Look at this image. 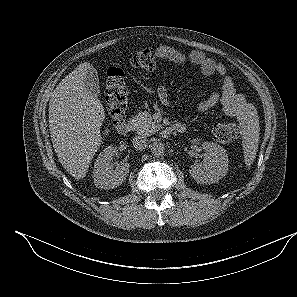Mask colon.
Masks as SVG:
<instances>
[{
  "label": "colon",
  "instance_id": "colon-1",
  "mask_svg": "<svg viewBox=\"0 0 297 297\" xmlns=\"http://www.w3.org/2000/svg\"><path fill=\"white\" fill-rule=\"evenodd\" d=\"M129 64L135 68L151 71L156 67V56L150 48H142L129 56ZM106 96L110 120L118 124L124 119L128 104V89L124 69L113 66L106 75ZM214 138L220 143H233L239 138V128L234 123L222 122L213 126Z\"/></svg>",
  "mask_w": 297,
  "mask_h": 297
}]
</instances>
